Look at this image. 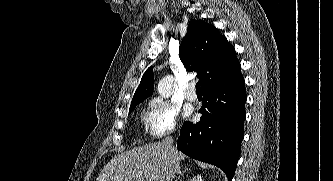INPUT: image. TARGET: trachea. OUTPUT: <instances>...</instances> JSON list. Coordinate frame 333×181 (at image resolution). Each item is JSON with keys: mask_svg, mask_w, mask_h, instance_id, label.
Listing matches in <instances>:
<instances>
[{"mask_svg": "<svg viewBox=\"0 0 333 181\" xmlns=\"http://www.w3.org/2000/svg\"><path fill=\"white\" fill-rule=\"evenodd\" d=\"M196 92H201L200 82L196 84Z\"/></svg>", "mask_w": 333, "mask_h": 181, "instance_id": "3493384b", "label": "trachea"}]
</instances>
